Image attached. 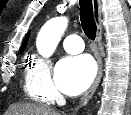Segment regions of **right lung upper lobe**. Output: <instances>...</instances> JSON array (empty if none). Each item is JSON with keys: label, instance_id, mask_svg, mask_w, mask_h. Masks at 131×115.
Here are the masks:
<instances>
[{"label": "right lung upper lobe", "instance_id": "right-lung-upper-lobe-1", "mask_svg": "<svg viewBox=\"0 0 131 115\" xmlns=\"http://www.w3.org/2000/svg\"><path fill=\"white\" fill-rule=\"evenodd\" d=\"M28 39H29V33L26 35V38H25V40H24V42H23V45H22V47H21L20 52H22V51L25 49V47H26V45H27Z\"/></svg>", "mask_w": 131, "mask_h": 115}]
</instances>
